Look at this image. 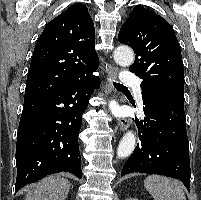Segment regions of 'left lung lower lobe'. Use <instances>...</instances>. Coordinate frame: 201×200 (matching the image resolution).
I'll list each match as a JSON object with an SVG mask.
<instances>
[{
	"label": "left lung lower lobe",
	"mask_w": 201,
	"mask_h": 200,
	"mask_svg": "<svg viewBox=\"0 0 201 200\" xmlns=\"http://www.w3.org/2000/svg\"><path fill=\"white\" fill-rule=\"evenodd\" d=\"M145 120L139 127L137 147L121 176L141 172L169 176L189 191V143L184 112V87L165 85L142 91Z\"/></svg>",
	"instance_id": "0a47b994"
}]
</instances>
